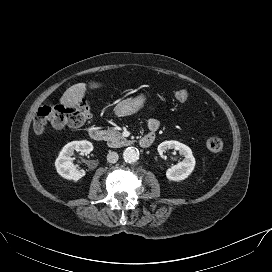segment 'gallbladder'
I'll return each mask as SVG.
<instances>
[{
  "mask_svg": "<svg viewBox=\"0 0 272 272\" xmlns=\"http://www.w3.org/2000/svg\"><path fill=\"white\" fill-rule=\"evenodd\" d=\"M89 87H90L91 89H94V88L101 87V84H100V83H95V82H93V83H91V84L89 85Z\"/></svg>",
  "mask_w": 272,
  "mask_h": 272,
  "instance_id": "bac80fb5",
  "label": "gallbladder"
}]
</instances>
